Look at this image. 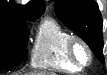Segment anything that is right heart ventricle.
Here are the masks:
<instances>
[{"instance_id": "1", "label": "right heart ventricle", "mask_w": 107, "mask_h": 75, "mask_svg": "<svg viewBox=\"0 0 107 75\" xmlns=\"http://www.w3.org/2000/svg\"><path fill=\"white\" fill-rule=\"evenodd\" d=\"M72 35L57 21L45 19L39 26L31 54V65L37 69L78 72L67 56V42Z\"/></svg>"}]
</instances>
